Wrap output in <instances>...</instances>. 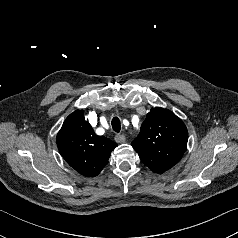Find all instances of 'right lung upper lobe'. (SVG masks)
I'll return each instance as SVG.
<instances>
[{"instance_id": "cb5924a9", "label": "right lung upper lobe", "mask_w": 238, "mask_h": 238, "mask_svg": "<svg viewBox=\"0 0 238 238\" xmlns=\"http://www.w3.org/2000/svg\"><path fill=\"white\" fill-rule=\"evenodd\" d=\"M56 142L65 161L86 177L98 175L117 146L111 140L95 134L82 110H76L66 118Z\"/></svg>"}]
</instances>
